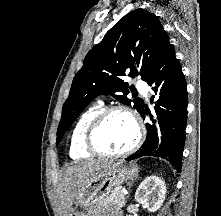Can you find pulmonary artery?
<instances>
[{
	"label": "pulmonary artery",
	"mask_w": 221,
	"mask_h": 216,
	"mask_svg": "<svg viewBox=\"0 0 221 216\" xmlns=\"http://www.w3.org/2000/svg\"><path fill=\"white\" fill-rule=\"evenodd\" d=\"M137 87L144 93V95H146L147 92V87L146 84L143 81H138L137 82Z\"/></svg>",
	"instance_id": "pulmonary-artery-1"
}]
</instances>
